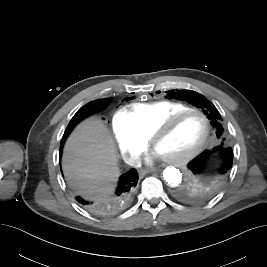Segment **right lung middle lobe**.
I'll return each instance as SVG.
<instances>
[{
	"label": "right lung middle lobe",
	"instance_id": "obj_1",
	"mask_svg": "<svg viewBox=\"0 0 267 267\" xmlns=\"http://www.w3.org/2000/svg\"><path fill=\"white\" fill-rule=\"evenodd\" d=\"M96 102L101 103V102H107V101H105V100H96Z\"/></svg>",
	"mask_w": 267,
	"mask_h": 267
}]
</instances>
